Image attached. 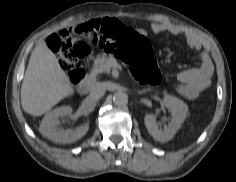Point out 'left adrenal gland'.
Listing matches in <instances>:
<instances>
[{
	"label": "left adrenal gland",
	"instance_id": "left-adrenal-gland-1",
	"mask_svg": "<svg viewBox=\"0 0 236 182\" xmlns=\"http://www.w3.org/2000/svg\"><path fill=\"white\" fill-rule=\"evenodd\" d=\"M139 95L143 94V92H138Z\"/></svg>",
	"mask_w": 236,
	"mask_h": 182
}]
</instances>
